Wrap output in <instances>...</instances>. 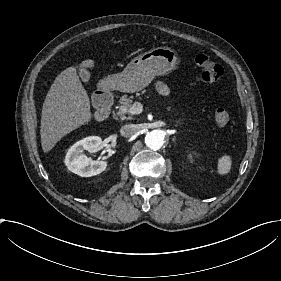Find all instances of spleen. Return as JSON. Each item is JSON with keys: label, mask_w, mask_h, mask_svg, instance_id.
I'll list each match as a JSON object with an SVG mask.
<instances>
[{"label": "spleen", "mask_w": 281, "mask_h": 281, "mask_svg": "<svg viewBox=\"0 0 281 281\" xmlns=\"http://www.w3.org/2000/svg\"><path fill=\"white\" fill-rule=\"evenodd\" d=\"M230 167V160L228 158H224L222 160H220V164H219V171L220 172H228Z\"/></svg>", "instance_id": "obj_1"}]
</instances>
